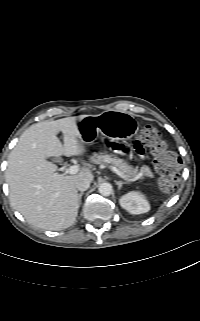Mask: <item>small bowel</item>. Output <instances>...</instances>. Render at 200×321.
Returning <instances> with one entry per match:
<instances>
[{
	"label": "small bowel",
	"mask_w": 200,
	"mask_h": 321,
	"mask_svg": "<svg viewBox=\"0 0 200 321\" xmlns=\"http://www.w3.org/2000/svg\"><path fill=\"white\" fill-rule=\"evenodd\" d=\"M101 143L104 146L108 145L110 149L121 152L123 155L131 156L135 162H140L142 158L147 155V152L138 137L132 138L131 143L133 147H130L128 142H116L115 140H109L107 137L102 138Z\"/></svg>",
	"instance_id": "1"
}]
</instances>
